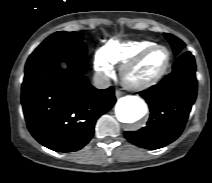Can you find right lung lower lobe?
Instances as JSON below:
<instances>
[{"mask_svg": "<svg viewBox=\"0 0 212 183\" xmlns=\"http://www.w3.org/2000/svg\"><path fill=\"white\" fill-rule=\"evenodd\" d=\"M69 68L61 70L59 63ZM85 55L45 54L29 57L21 102L27 127L45 147L73 152L94 134L97 119L116 102L113 87L98 90L83 72Z\"/></svg>", "mask_w": 212, "mask_h": 183, "instance_id": "right-lung-lower-lobe-1", "label": "right lung lower lobe"}]
</instances>
